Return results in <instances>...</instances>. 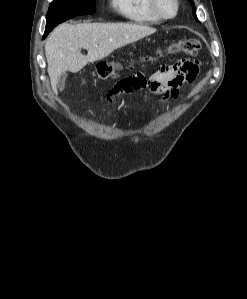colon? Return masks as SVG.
I'll return each mask as SVG.
<instances>
[{"label":"colon","instance_id":"1","mask_svg":"<svg viewBox=\"0 0 247 299\" xmlns=\"http://www.w3.org/2000/svg\"><path fill=\"white\" fill-rule=\"evenodd\" d=\"M201 49V43L196 38H187L181 40L169 47L168 52H183L188 55H196ZM119 69V65L115 62H101L96 67L95 76L100 80L108 79L113 76Z\"/></svg>","mask_w":247,"mask_h":299}]
</instances>
